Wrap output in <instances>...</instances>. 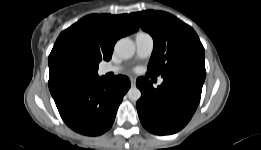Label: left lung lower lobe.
Here are the masks:
<instances>
[{
	"instance_id": "obj_1",
	"label": "left lung lower lobe",
	"mask_w": 261,
	"mask_h": 150,
	"mask_svg": "<svg viewBox=\"0 0 261 150\" xmlns=\"http://www.w3.org/2000/svg\"><path fill=\"white\" fill-rule=\"evenodd\" d=\"M206 72L181 69L163 76L154 88L146 77L136 81L141 90L137 111L142 125L151 133L169 135L181 130L193 116L201 97Z\"/></svg>"
}]
</instances>
